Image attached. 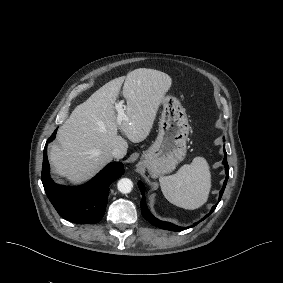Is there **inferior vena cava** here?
<instances>
[{
    "mask_svg": "<svg viewBox=\"0 0 283 283\" xmlns=\"http://www.w3.org/2000/svg\"><path fill=\"white\" fill-rule=\"evenodd\" d=\"M111 153L113 158L115 159H123V157L125 156V152L118 148L113 149Z\"/></svg>",
    "mask_w": 283,
    "mask_h": 283,
    "instance_id": "inferior-vena-cava-1",
    "label": "inferior vena cava"
}]
</instances>
